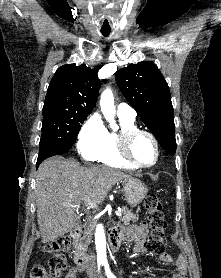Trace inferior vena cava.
<instances>
[{
  "instance_id": "1",
  "label": "inferior vena cava",
  "mask_w": 221,
  "mask_h": 278,
  "mask_svg": "<svg viewBox=\"0 0 221 278\" xmlns=\"http://www.w3.org/2000/svg\"><path fill=\"white\" fill-rule=\"evenodd\" d=\"M86 270L88 272H94L96 271V264H95V256L94 254H91L89 257V260L86 264Z\"/></svg>"
}]
</instances>
